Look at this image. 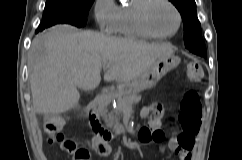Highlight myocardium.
Instances as JSON below:
<instances>
[{
    "instance_id": "f54148a6",
    "label": "myocardium",
    "mask_w": 242,
    "mask_h": 160,
    "mask_svg": "<svg viewBox=\"0 0 242 160\" xmlns=\"http://www.w3.org/2000/svg\"><path fill=\"white\" fill-rule=\"evenodd\" d=\"M164 2L167 5H169L175 12L177 16V26L176 29L170 33V34H160L155 32L149 25L148 22V10L151 7V5L155 2ZM135 20L142 32H144L146 35H148L151 38L156 39H168L174 37L180 30L182 25V15L178 7L171 1V0H142L140 4L137 5L135 9Z\"/></svg>"
}]
</instances>
